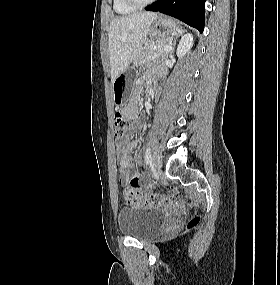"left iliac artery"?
<instances>
[{"label":"left iliac artery","instance_id":"obj_1","mask_svg":"<svg viewBox=\"0 0 280 285\" xmlns=\"http://www.w3.org/2000/svg\"><path fill=\"white\" fill-rule=\"evenodd\" d=\"M151 161V149L150 146L147 147L146 153H145V163L148 165Z\"/></svg>","mask_w":280,"mask_h":285}]
</instances>
